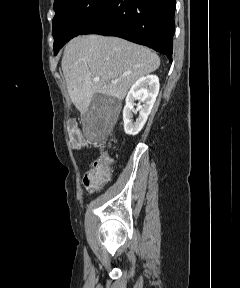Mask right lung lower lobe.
Returning a JSON list of instances; mask_svg holds the SVG:
<instances>
[{"instance_id": "1", "label": "right lung lower lobe", "mask_w": 240, "mask_h": 288, "mask_svg": "<svg viewBox=\"0 0 240 288\" xmlns=\"http://www.w3.org/2000/svg\"><path fill=\"white\" fill-rule=\"evenodd\" d=\"M175 0H112L79 35L117 36L165 54L172 62Z\"/></svg>"}]
</instances>
